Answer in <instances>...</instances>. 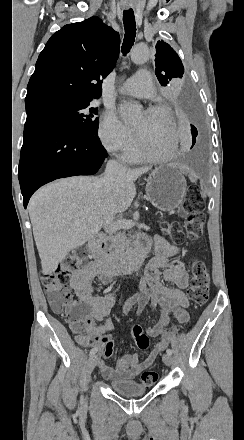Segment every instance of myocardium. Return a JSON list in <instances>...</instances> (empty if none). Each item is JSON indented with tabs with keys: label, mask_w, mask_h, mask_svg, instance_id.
I'll return each instance as SVG.
<instances>
[{
	"label": "myocardium",
	"mask_w": 244,
	"mask_h": 440,
	"mask_svg": "<svg viewBox=\"0 0 244 440\" xmlns=\"http://www.w3.org/2000/svg\"><path fill=\"white\" fill-rule=\"evenodd\" d=\"M148 110H157V111H161V112H167L169 114L170 117V123L168 125V127L164 130V133L166 135V144L164 145L162 142L159 143V145H154L155 147L158 146L161 148V150L164 152V154L160 155V156H156L153 157L152 160L156 163L159 164H167L169 161H171L173 159L174 156V126H173V122L175 121L173 119V111L164 104H156L153 105L151 107L148 108ZM147 110V111H148ZM137 133L139 135L140 138H137V143H140L141 147H154L151 145H146L145 141H144V134L136 127Z\"/></svg>",
	"instance_id": "obj_1"
}]
</instances>
